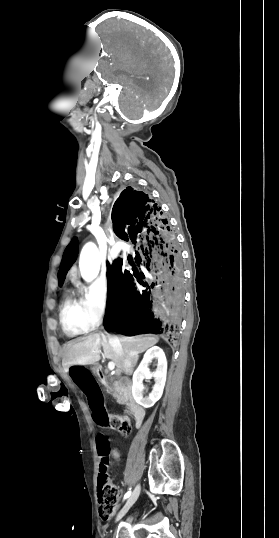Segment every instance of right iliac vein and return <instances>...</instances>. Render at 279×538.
I'll return each mask as SVG.
<instances>
[{
	"mask_svg": "<svg viewBox=\"0 0 279 538\" xmlns=\"http://www.w3.org/2000/svg\"><path fill=\"white\" fill-rule=\"evenodd\" d=\"M140 491H141V487L140 485H137L134 491L132 492L131 496L126 501L125 505L122 507V509L118 513L116 517V521H119L128 512L131 506L136 502V500L139 497Z\"/></svg>",
	"mask_w": 279,
	"mask_h": 538,
	"instance_id": "1",
	"label": "right iliac vein"
}]
</instances>
